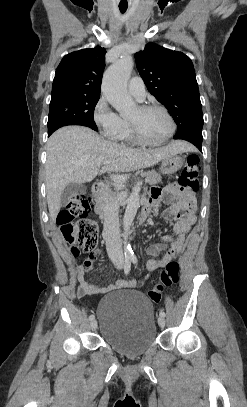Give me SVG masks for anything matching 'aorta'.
Segmentation results:
<instances>
[{
  "label": "aorta",
  "instance_id": "obj_1",
  "mask_svg": "<svg viewBox=\"0 0 247 407\" xmlns=\"http://www.w3.org/2000/svg\"><path fill=\"white\" fill-rule=\"evenodd\" d=\"M133 69V60L130 56H124L111 65L103 76L102 92L108 102L119 112L121 116L128 115L135 108L131 96L127 91V82ZM140 205L139 190L133 189L127 200V207L123 219L124 228V251L131 254V247L127 245V238L132 222Z\"/></svg>",
  "mask_w": 247,
  "mask_h": 407
}]
</instances>
